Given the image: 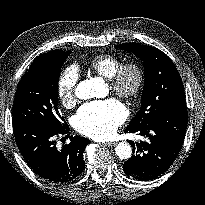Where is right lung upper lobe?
<instances>
[{"mask_svg":"<svg viewBox=\"0 0 205 205\" xmlns=\"http://www.w3.org/2000/svg\"><path fill=\"white\" fill-rule=\"evenodd\" d=\"M59 52H62V50H52L46 54H43V55H51V54H56V53H59Z\"/></svg>","mask_w":205,"mask_h":205,"instance_id":"cb5924a9","label":"right lung upper lobe"}]
</instances>
